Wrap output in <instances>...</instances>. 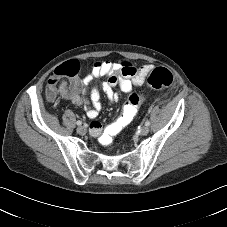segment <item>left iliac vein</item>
<instances>
[{
	"label": "left iliac vein",
	"mask_w": 227,
	"mask_h": 227,
	"mask_svg": "<svg viewBox=\"0 0 227 227\" xmlns=\"http://www.w3.org/2000/svg\"><path fill=\"white\" fill-rule=\"evenodd\" d=\"M149 133V128L147 126L142 127L140 134L141 135H147Z\"/></svg>",
	"instance_id": "4c4485c4"
}]
</instances>
